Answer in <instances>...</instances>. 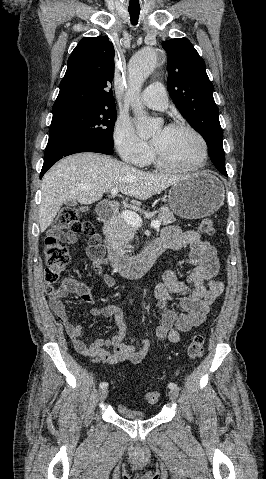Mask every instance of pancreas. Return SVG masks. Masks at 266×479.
Here are the masks:
<instances>
[{"mask_svg":"<svg viewBox=\"0 0 266 479\" xmlns=\"http://www.w3.org/2000/svg\"><path fill=\"white\" fill-rule=\"evenodd\" d=\"M158 220L163 225H168L175 222V217L169 209H162L158 214ZM137 227L128 224L121 215L113 218L110 224V230L106 233L107 247L110 252L118 254H126L130 252L132 246L129 242L133 239Z\"/></svg>","mask_w":266,"mask_h":479,"instance_id":"obj_1","label":"pancreas"}]
</instances>
